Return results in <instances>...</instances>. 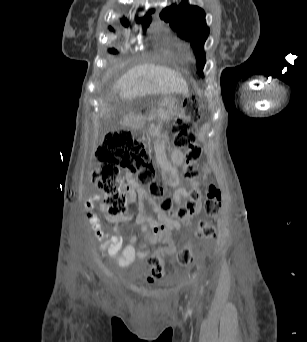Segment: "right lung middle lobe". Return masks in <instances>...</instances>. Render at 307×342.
Segmentation results:
<instances>
[{"label":"right lung middle lobe","instance_id":"right-lung-middle-lobe-1","mask_svg":"<svg viewBox=\"0 0 307 342\" xmlns=\"http://www.w3.org/2000/svg\"><path fill=\"white\" fill-rule=\"evenodd\" d=\"M109 52H110V53H117V50H115V49H110Z\"/></svg>","mask_w":307,"mask_h":342}]
</instances>
